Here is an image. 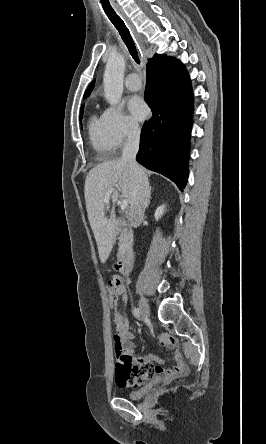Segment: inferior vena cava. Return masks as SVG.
<instances>
[{
  "label": "inferior vena cava",
  "instance_id": "1",
  "mask_svg": "<svg viewBox=\"0 0 266 444\" xmlns=\"http://www.w3.org/2000/svg\"><path fill=\"white\" fill-rule=\"evenodd\" d=\"M140 129L138 126H130L127 131V139L122 151V160L130 165L134 176V188L130 206V221L134 228L139 226L144 212L149 203V182L142 167L136 162V154L139 150Z\"/></svg>",
  "mask_w": 266,
  "mask_h": 444
}]
</instances>
